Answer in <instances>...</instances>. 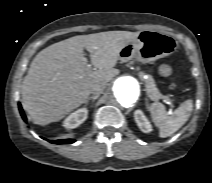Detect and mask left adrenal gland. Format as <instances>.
Wrapping results in <instances>:
<instances>
[{
    "mask_svg": "<svg viewBox=\"0 0 212 183\" xmlns=\"http://www.w3.org/2000/svg\"><path fill=\"white\" fill-rule=\"evenodd\" d=\"M145 100H146V106H148V99L146 98Z\"/></svg>",
    "mask_w": 212,
    "mask_h": 183,
    "instance_id": "a2214340",
    "label": "left adrenal gland"
}]
</instances>
